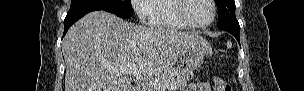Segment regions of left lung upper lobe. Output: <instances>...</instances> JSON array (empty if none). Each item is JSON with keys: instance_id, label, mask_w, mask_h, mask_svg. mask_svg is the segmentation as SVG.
Returning <instances> with one entry per match:
<instances>
[{"instance_id": "1", "label": "left lung upper lobe", "mask_w": 304, "mask_h": 91, "mask_svg": "<svg viewBox=\"0 0 304 91\" xmlns=\"http://www.w3.org/2000/svg\"><path fill=\"white\" fill-rule=\"evenodd\" d=\"M215 2L219 11L217 27L223 30H239L240 26L235 16L234 0H215Z\"/></svg>"}]
</instances>
